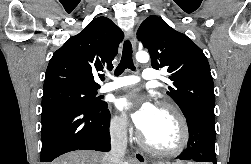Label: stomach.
Segmentation results:
<instances>
[{
  "instance_id": "0dacf381",
  "label": "stomach",
  "mask_w": 251,
  "mask_h": 164,
  "mask_svg": "<svg viewBox=\"0 0 251 164\" xmlns=\"http://www.w3.org/2000/svg\"><path fill=\"white\" fill-rule=\"evenodd\" d=\"M154 164H172V163L157 162V163H154ZM181 164H184V163H181Z\"/></svg>"
}]
</instances>
